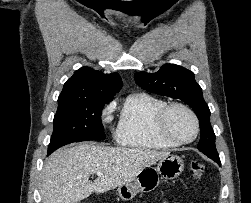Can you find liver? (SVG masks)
I'll return each mask as SVG.
<instances>
[{"label": "liver", "instance_id": "6515ba94", "mask_svg": "<svg viewBox=\"0 0 251 203\" xmlns=\"http://www.w3.org/2000/svg\"><path fill=\"white\" fill-rule=\"evenodd\" d=\"M169 152L81 143L54 152L42 170V203H75L132 182ZM102 173L94 182L90 175Z\"/></svg>", "mask_w": 251, "mask_h": 203}]
</instances>
